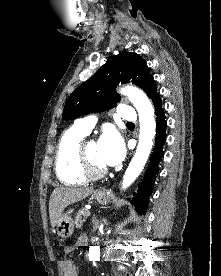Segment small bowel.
<instances>
[{"mask_svg":"<svg viewBox=\"0 0 221 276\" xmlns=\"http://www.w3.org/2000/svg\"><path fill=\"white\" fill-rule=\"evenodd\" d=\"M87 239L86 237L82 236L78 240L77 245L81 246L86 243ZM73 250L72 247H67L66 248V253H70ZM63 270H64V276H78V269L75 263L70 259H65L63 261Z\"/></svg>","mask_w":221,"mask_h":276,"instance_id":"obj_1","label":"small bowel"}]
</instances>
